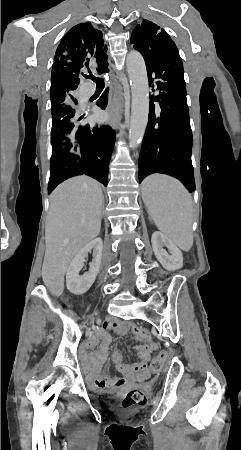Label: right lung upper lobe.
<instances>
[{
	"label": "right lung upper lobe",
	"instance_id": "1",
	"mask_svg": "<svg viewBox=\"0 0 241 450\" xmlns=\"http://www.w3.org/2000/svg\"><path fill=\"white\" fill-rule=\"evenodd\" d=\"M107 46L102 32L90 22L71 28L59 44L52 66L50 98L57 101L72 96L84 72H102L107 66Z\"/></svg>",
	"mask_w": 241,
	"mask_h": 450
}]
</instances>
